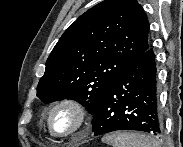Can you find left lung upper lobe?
Returning <instances> with one entry per match:
<instances>
[{"label":"left lung upper lobe","instance_id":"1","mask_svg":"<svg viewBox=\"0 0 183 147\" xmlns=\"http://www.w3.org/2000/svg\"><path fill=\"white\" fill-rule=\"evenodd\" d=\"M150 47L149 22L136 0H104L63 33L49 55L37 96L78 101L93 114L115 78Z\"/></svg>","mask_w":183,"mask_h":147}]
</instances>
